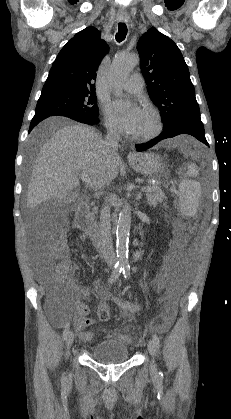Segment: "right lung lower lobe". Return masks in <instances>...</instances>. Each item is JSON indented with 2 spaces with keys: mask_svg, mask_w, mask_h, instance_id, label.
I'll return each instance as SVG.
<instances>
[{
  "mask_svg": "<svg viewBox=\"0 0 231 419\" xmlns=\"http://www.w3.org/2000/svg\"><path fill=\"white\" fill-rule=\"evenodd\" d=\"M47 117H49L48 115H45V114H37V115H35L34 117H33V119H32V121H31V124H30V128H29V132L40 122V121H42V120H44L45 118H47ZM80 122H83V123H87V124H89V125H94V124H96V123H98L99 122V119L97 118V119H95V120H93V121H80Z\"/></svg>",
  "mask_w": 231,
  "mask_h": 419,
  "instance_id": "98d812e1",
  "label": "right lung lower lobe"
}]
</instances>
